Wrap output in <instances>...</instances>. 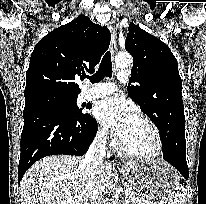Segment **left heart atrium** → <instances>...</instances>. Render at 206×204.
I'll return each mask as SVG.
<instances>
[{"label": "left heart atrium", "instance_id": "obj_1", "mask_svg": "<svg viewBox=\"0 0 206 204\" xmlns=\"http://www.w3.org/2000/svg\"><path fill=\"white\" fill-rule=\"evenodd\" d=\"M95 115L121 140L127 135L136 118L133 105L120 95H114L99 102L95 109Z\"/></svg>", "mask_w": 206, "mask_h": 204}]
</instances>
